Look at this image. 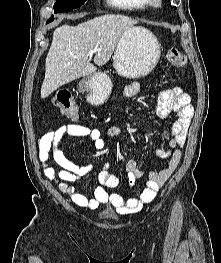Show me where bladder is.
Here are the masks:
<instances>
[{
	"mask_svg": "<svg viewBox=\"0 0 221 263\" xmlns=\"http://www.w3.org/2000/svg\"><path fill=\"white\" fill-rule=\"evenodd\" d=\"M103 219H105V220H113L114 216H104Z\"/></svg>",
	"mask_w": 221,
	"mask_h": 263,
	"instance_id": "obj_1",
	"label": "bladder"
}]
</instances>
